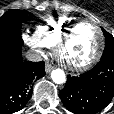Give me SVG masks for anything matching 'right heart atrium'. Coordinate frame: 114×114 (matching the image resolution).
Here are the masks:
<instances>
[{"instance_id":"d8ad5b80","label":"right heart atrium","mask_w":114,"mask_h":114,"mask_svg":"<svg viewBox=\"0 0 114 114\" xmlns=\"http://www.w3.org/2000/svg\"><path fill=\"white\" fill-rule=\"evenodd\" d=\"M24 41L29 44L30 46L39 49L40 45L38 44V42L35 40L34 37L28 35V34H24L23 35Z\"/></svg>"}]
</instances>
